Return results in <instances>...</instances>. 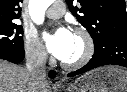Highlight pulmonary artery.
Segmentation results:
<instances>
[{
	"label": "pulmonary artery",
	"mask_w": 127,
	"mask_h": 92,
	"mask_svg": "<svg viewBox=\"0 0 127 92\" xmlns=\"http://www.w3.org/2000/svg\"><path fill=\"white\" fill-rule=\"evenodd\" d=\"M65 12V6L62 1H53L52 5L49 7V9L46 12L47 17L49 18H59L61 17Z\"/></svg>",
	"instance_id": "e3ab8cb5"
}]
</instances>
